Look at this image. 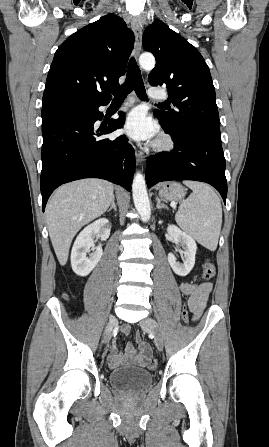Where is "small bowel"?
I'll return each mask as SVG.
<instances>
[{
  "label": "small bowel",
  "instance_id": "1",
  "mask_svg": "<svg viewBox=\"0 0 269 447\" xmlns=\"http://www.w3.org/2000/svg\"><path fill=\"white\" fill-rule=\"evenodd\" d=\"M212 283L200 282L189 283L183 282L180 285L182 294L188 296V306L193 315V320L196 321L202 315L208 301V297L212 291ZM130 331L128 326L122 328L124 334H128ZM135 339L138 340L139 354L136 353V349L133 344L128 343L125 347L124 355H120L116 346H112L108 355V365L110 367H118L126 361H133L136 365L144 367L145 361H152L153 356H143L142 349L146 347L148 343L140 341L143 334L140 331L135 332Z\"/></svg>",
  "mask_w": 269,
  "mask_h": 447
}]
</instances>
